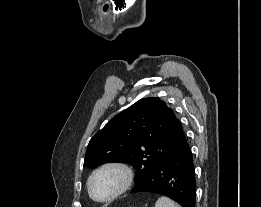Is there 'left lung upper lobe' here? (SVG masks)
<instances>
[{
  "label": "left lung upper lobe",
  "instance_id": "1",
  "mask_svg": "<svg viewBox=\"0 0 261 207\" xmlns=\"http://www.w3.org/2000/svg\"><path fill=\"white\" fill-rule=\"evenodd\" d=\"M180 121L159 98H143L112 118L90 140L84 166L125 162L135 169V185L148 177L179 147Z\"/></svg>",
  "mask_w": 261,
  "mask_h": 207
}]
</instances>
